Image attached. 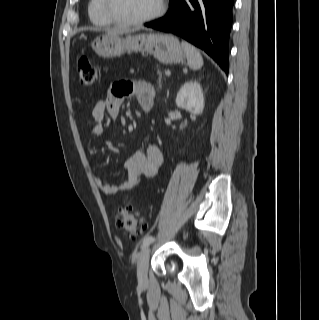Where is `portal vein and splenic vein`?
Returning a JSON list of instances; mask_svg holds the SVG:
<instances>
[{
  "label": "portal vein and splenic vein",
  "mask_w": 319,
  "mask_h": 320,
  "mask_svg": "<svg viewBox=\"0 0 319 320\" xmlns=\"http://www.w3.org/2000/svg\"><path fill=\"white\" fill-rule=\"evenodd\" d=\"M170 74H171V72H170L169 70H166V71H165V75H166V76H170Z\"/></svg>",
  "instance_id": "1"
}]
</instances>
